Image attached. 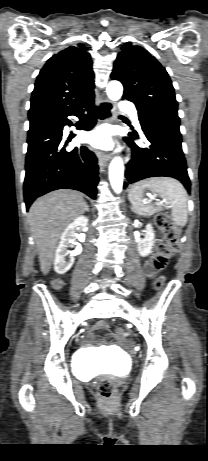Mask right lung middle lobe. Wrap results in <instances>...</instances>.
I'll list each match as a JSON object with an SVG mask.
<instances>
[{
    "instance_id": "right-lung-middle-lobe-1",
    "label": "right lung middle lobe",
    "mask_w": 208,
    "mask_h": 461,
    "mask_svg": "<svg viewBox=\"0 0 208 461\" xmlns=\"http://www.w3.org/2000/svg\"><path fill=\"white\" fill-rule=\"evenodd\" d=\"M30 121V128H33L39 124H41L42 122L46 121V120H40V119H29Z\"/></svg>"
}]
</instances>
